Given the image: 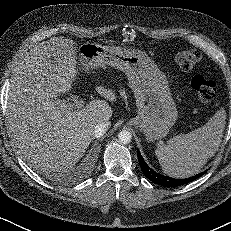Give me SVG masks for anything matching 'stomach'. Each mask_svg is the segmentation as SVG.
<instances>
[{"instance_id": "0dacf381", "label": "stomach", "mask_w": 231, "mask_h": 231, "mask_svg": "<svg viewBox=\"0 0 231 231\" xmlns=\"http://www.w3.org/2000/svg\"><path fill=\"white\" fill-rule=\"evenodd\" d=\"M75 60L78 71L85 74L106 66L125 72L138 109L129 124L142 131L148 142L168 134L177 119L176 105L166 75L145 52L91 44L89 51L79 49Z\"/></svg>"}]
</instances>
